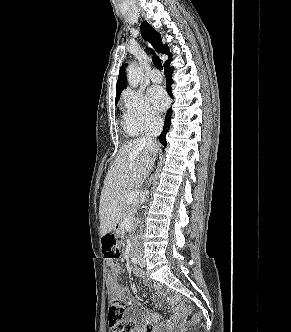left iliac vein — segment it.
<instances>
[{"label":"left iliac vein","instance_id":"obj_1","mask_svg":"<svg viewBox=\"0 0 291 332\" xmlns=\"http://www.w3.org/2000/svg\"><path fill=\"white\" fill-rule=\"evenodd\" d=\"M139 266L140 267H145L146 265V262H145V259L143 257L139 258Z\"/></svg>","mask_w":291,"mask_h":332}]
</instances>
